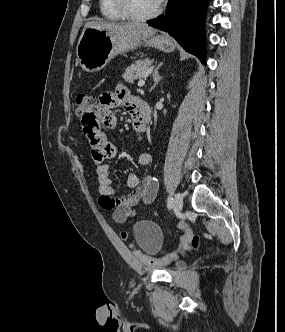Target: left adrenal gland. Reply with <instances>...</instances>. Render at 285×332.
Masks as SVG:
<instances>
[{
    "label": "left adrenal gland",
    "instance_id": "1",
    "mask_svg": "<svg viewBox=\"0 0 285 332\" xmlns=\"http://www.w3.org/2000/svg\"><path fill=\"white\" fill-rule=\"evenodd\" d=\"M162 63H160L154 70L153 72V80H154V85L151 87V89H153L157 84L158 82L160 81L161 79V76L159 75V68L161 67Z\"/></svg>",
    "mask_w": 285,
    "mask_h": 332
}]
</instances>
